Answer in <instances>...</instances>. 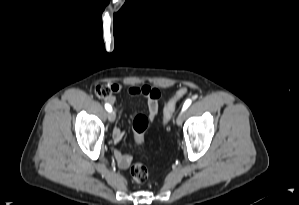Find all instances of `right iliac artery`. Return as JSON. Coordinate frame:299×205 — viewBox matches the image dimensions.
<instances>
[{"label": "right iliac artery", "instance_id": "1", "mask_svg": "<svg viewBox=\"0 0 299 205\" xmlns=\"http://www.w3.org/2000/svg\"><path fill=\"white\" fill-rule=\"evenodd\" d=\"M105 108L108 112L112 111V107L109 104H105Z\"/></svg>", "mask_w": 299, "mask_h": 205}]
</instances>
